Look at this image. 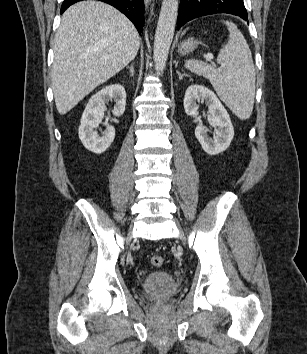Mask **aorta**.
Segmentation results:
<instances>
[{
  "instance_id": "1",
  "label": "aorta",
  "mask_w": 307,
  "mask_h": 354,
  "mask_svg": "<svg viewBox=\"0 0 307 354\" xmlns=\"http://www.w3.org/2000/svg\"><path fill=\"white\" fill-rule=\"evenodd\" d=\"M178 14V0H163L155 33L153 59L155 69L162 73L165 69L173 40Z\"/></svg>"
}]
</instances>
